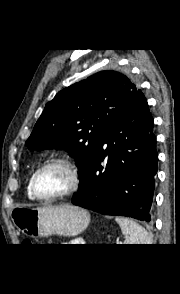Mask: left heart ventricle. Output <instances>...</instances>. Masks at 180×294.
<instances>
[{
	"instance_id": "b2bd125f",
	"label": "left heart ventricle",
	"mask_w": 180,
	"mask_h": 294,
	"mask_svg": "<svg viewBox=\"0 0 180 294\" xmlns=\"http://www.w3.org/2000/svg\"><path fill=\"white\" fill-rule=\"evenodd\" d=\"M70 184V176L62 166H51L40 173L37 190L42 196H52L64 191Z\"/></svg>"
}]
</instances>
